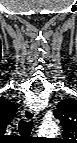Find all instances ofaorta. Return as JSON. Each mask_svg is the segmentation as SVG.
<instances>
[{
    "instance_id": "aorta-1",
    "label": "aorta",
    "mask_w": 77,
    "mask_h": 143,
    "mask_svg": "<svg viewBox=\"0 0 77 143\" xmlns=\"http://www.w3.org/2000/svg\"><path fill=\"white\" fill-rule=\"evenodd\" d=\"M59 127L54 121L42 123L39 127V134L47 137H53L58 134Z\"/></svg>"
}]
</instances>
